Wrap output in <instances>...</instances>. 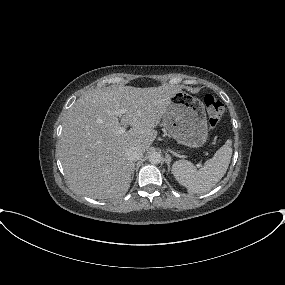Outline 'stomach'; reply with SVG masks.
Here are the masks:
<instances>
[{
	"mask_svg": "<svg viewBox=\"0 0 285 285\" xmlns=\"http://www.w3.org/2000/svg\"><path fill=\"white\" fill-rule=\"evenodd\" d=\"M163 126L178 143L189 147H201L208 138L204 104L183 91L171 98Z\"/></svg>",
	"mask_w": 285,
	"mask_h": 285,
	"instance_id": "1",
	"label": "stomach"
}]
</instances>
